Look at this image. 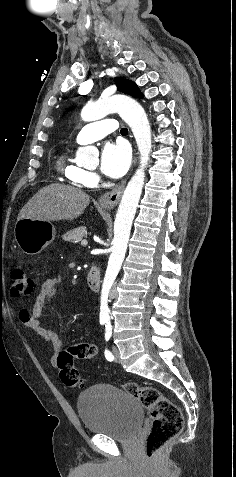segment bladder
I'll list each match as a JSON object with an SVG mask.
<instances>
[{"instance_id":"obj_1","label":"bladder","mask_w":236,"mask_h":477,"mask_svg":"<svg viewBox=\"0 0 236 477\" xmlns=\"http://www.w3.org/2000/svg\"><path fill=\"white\" fill-rule=\"evenodd\" d=\"M77 409L85 429L91 434L115 440H130L143 421V406L125 390L96 384L84 391Z\"/></svg>"}]
</instances>
